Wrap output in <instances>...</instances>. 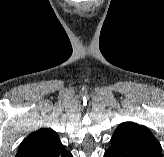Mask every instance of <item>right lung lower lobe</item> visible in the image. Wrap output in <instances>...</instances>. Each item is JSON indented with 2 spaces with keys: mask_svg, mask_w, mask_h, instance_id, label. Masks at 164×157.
Masks as SVG:
<instances>
[{
  "mask_svg": "<svg viewBox=\"0 0 164 157\" xmlns=\"http://www.w3.org/2000/svg\"><path fill=\"white\" fill-rule=\"evenodd\" d=\"M30 157H73V155L66 151L60 140L43 148L42 150L32 154Z\"/></svg>",
  "mask_w": 164,
  "mask_h": 157,
  "instance_id": "98d812e1",
  "label": "right lung lower lobe"
}]
</instances>
